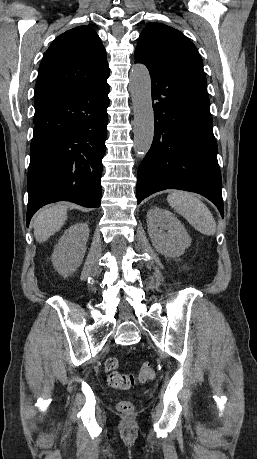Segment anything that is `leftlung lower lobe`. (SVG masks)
<instances>
[{"mask_svg":"<svg viewBox=\"0 0 257 459\" xmlns=\"http://www.w3.org/2000/svg\"><path fill=\"white\" fill-rule=\"evenodd\" d=\"M155 115L154 139L137 173V202L165 190L199 193L224 216L217 144L206 76L149 70Z\"/></svg>","mask_w":257,"mask_h":459,"instance_id":"0a47b994","label":"left lung lower lobe"}]
</instances>
